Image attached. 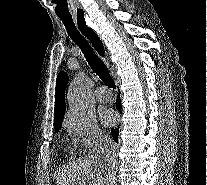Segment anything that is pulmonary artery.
I'll return each instance as SVG.
<instances>
[{"label":"pulmonary artery","instance_id":"obj_1","mask_svg":"<svg viewBox=\"0 0 207 185\" xmlns=\"http://www.w3.org/2000/svg\"><path fill=\"white\" fill-rule=\"evenodd\" d=\"M97 101L101 103H107L111 100L112 93L108 90H103L101 88L97 89L95 93Z\"/></svg>","mask_w":207,"mask_h":185}]
</instances>
